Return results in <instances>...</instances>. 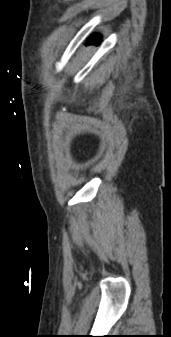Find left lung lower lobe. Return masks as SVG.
Masks as SVG:
<instances>
[{
	"instance_id": "obj_1",
	"label": "left lung lower lobe",
	"mask_w": 171,
	"mask_h": 337,
	"mask_svg": "<svg viewBox=\"0 0 171 337\" xmlns=\"http://www.w3.org/2000/svg\"><path fill=\"white\" fill-rule=\"evenodd\" d=\"M90 41H91L93 44L98 45L99 42L101 41V40H100V35H99V34H95V35L91 36V37H90ZM87 44H91V43L89 42V43H87Z\"/></svg>"
}]
</instances>
